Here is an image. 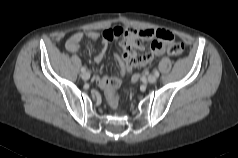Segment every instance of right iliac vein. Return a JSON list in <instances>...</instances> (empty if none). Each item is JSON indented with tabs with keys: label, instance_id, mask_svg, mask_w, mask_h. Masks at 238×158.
Wrapping results in <instances>:
<instances>
[{
	"label": "right iliac vein",
	"instance_id": "right-iliac-vein-1",
	"mask_svg": "<svg viewBox=\"0 0 238 158\" xmlns=\"http://www.w3.org/2000/svg\"><path fill=\"white\" fill-rule=\"evenodd\" d=\"M81 77L84 79V80H89L90 79V73L85 71L82 73Z\"/></svg>",
	"mask_w": 238,
	"mask_h": 158
}]
</instances>
